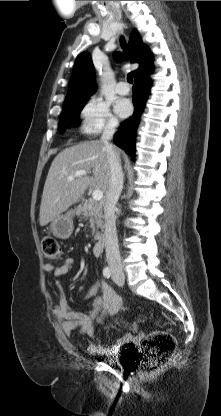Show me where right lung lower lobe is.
Listing matches in <instances>:
<instances>
[{"label": "right lung lower lobe", "mask_w": 221, "mask_h": 416, "mask_svg": "<svg viewBox=\"0 0 221 416\" xmlns=\"http://www.w3.org/2000/svg\"><path fill=\"white\" fill-rule=\"evenodd\" d=\"M151 72L149 71L135 77V84L133 86L134 114L130 119L122 123L119 131L114 136V143L125 150L133 159L135 156L137 127L152 85L149 77Z\"/></svg>", "instance_id": "right-lung-lower-lobe-1"}]
</instances>
